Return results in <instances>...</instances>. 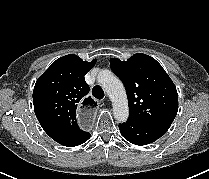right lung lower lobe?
Masks as SVG:
<instances>
[{"label":"right lung lower lobe","instance_id":"right-lung-lower-lobe-1","mask_svg":"<svg viewBox=\"0 0 209 179\" xmlns=\"http://www.w3.org/2000/svg\"><path fill=\"white\" fill-rule=\"evenodd\" d=\"M89 138H90V133L84 131L76 139L72 140L70 143L66 144L65 146H68V147L78 146L86 142Z\"/></svg>","mask_w":209,"mask_h":179}]
</instances>
